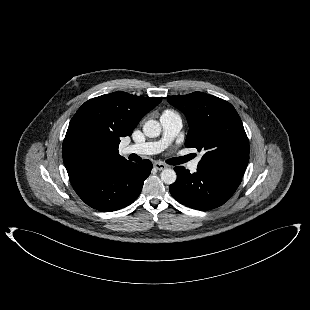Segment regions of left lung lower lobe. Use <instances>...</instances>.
Masks as SVG:
<instances>
[{
  "label": "left lung lower lobe",
  "instance_id": "left-lung-lower-lobe-1",
  "mask_svg": "<svg viewBox=\"0 0 310 310\" xmlns=\"http://www.w3.org/2000/svg\"><path fill=\"white\" fill-rule=\"evenodd\" d=\"M177 180L170 185L171 195L183 205L210 210L224 204L238 188L242 177L210 168H199L190 174L183 166L174 168Z\"/></svg>",
  "mask_w": 310,
  "mask_h": 310
}]
</instances>
